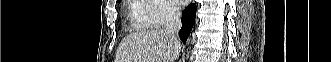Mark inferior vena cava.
Returning a JSON list of instances; mask_svg holds the SVG:
<instances>
[{
    "label": "inferior vena cava",
    "instance_id": "obj_1",
    "mask_svg": "<svg viewBox=\"0 0 331 62\" xmlns=\"http://www.w3.org/2000/svg\"><path fill=\"white\" fill-rule=\"evenodd\" d=\"M181 26V13L179 9L175 6H170L165 22V32H167L174 41H178V32Z\"/></svg>",
    "mask_w": 331,
    "mask_h": 62
}]
</instances>
